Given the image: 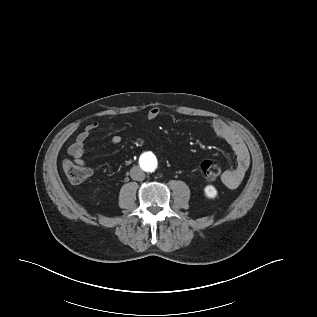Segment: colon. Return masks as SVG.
<instances>
[{"instance_id": "obj_1", "label": "colon", "mask_w": 317, "mask_h": 317, "mask_svg": "<svg viewBox=\"0 0 317 317\" xmlns=\"http://www.w3.org/2000/svg\"><path fill=\"white\" fill-rule=\"evenodd\" d=\"M63 169L67 179L73 184H79L87 180L91 175V169L85 164L73 161H65ZM201 172L206 180L213 181L222 173V164L218 160H205L200 165Z\"/></svg>"}]
</instances>
